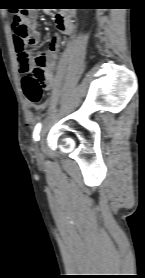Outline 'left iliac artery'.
<instances>
[{"label":"left iliac artery","mask_w":145,"mask_h":278,"mask_svg":"<svg viewBox=\"0 0 145 278\" xmlns=\"http://www.w3.org/2000/svg\"><path fill=\"white\" fill-rule=\"evenodd\" d=\"M40 130H41V123H38L35 128H34V131H33V140L34 141H38L40 136H39V133H40Z\"/></svg>","instance_id":"left-iliac-artery-1"}]
</instances>
